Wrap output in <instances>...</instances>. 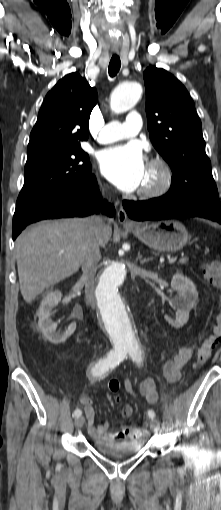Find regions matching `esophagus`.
<instances>
[{"label":"esophagus","instance_id":"1","mask_svg":"<svg viewBox=\"0 0 221 510\" xmlns=\"http://www.w3.org/2000/svg\"><path fill=\"white\" fill-rule=\"evenodd\" d=\"M118 221L123 225H134V222L128 218V215L123 207H120L117 213Z\"/></svg>","mask_w":221,"mask_h":510}]
</instances>
